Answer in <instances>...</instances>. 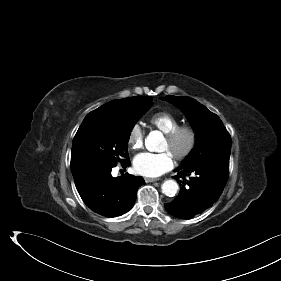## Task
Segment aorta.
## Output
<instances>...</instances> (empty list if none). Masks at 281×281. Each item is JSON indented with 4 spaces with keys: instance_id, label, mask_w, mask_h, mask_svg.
Returning <instances> with one entry per match:
<instances>
[{
    "instance_id": "aorta-1",
    "label": "aorta",
    "mask_w": 281,
    "mask_h": 281,
    "mask_svg": "<svg viewBox=\"0 0 281 281\" xmlns=\"http://www.w3.org/2000/svg\"><path fill=\"white\" fill-rule=\"evenodd\" d=\"M163 136L159 131H152L145 139V147L148 151L154 152L157 150L159 143ZM162 192L169 197L175 196L178 192L179 186L174 180H166L161 186Z\"/></svg>"
}]
</instances>
